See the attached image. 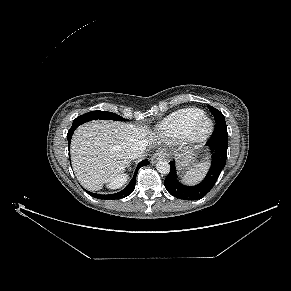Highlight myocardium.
<instances>
[{"label": "myocardium", "mask_w": 291, "mask_h": 291, "mask_svg": "<svg viewBox=\"0 0 291 291\" xmlns=\"http://www.w3.org/2000/svg\"><path fill=\"white\" fill-rule=\"evenodd\" d=\"M214 123L209 117L201 118L188 134L189 141L195 144L202 143L212 134Z\"/></svg>", "instance_id": "obj_1"}]
</instances>
